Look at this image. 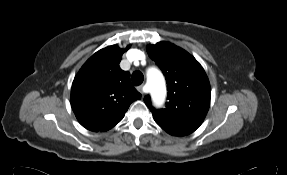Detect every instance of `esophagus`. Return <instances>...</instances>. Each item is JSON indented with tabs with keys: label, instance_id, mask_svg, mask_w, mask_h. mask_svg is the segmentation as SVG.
<instances>
[{
	"label": "esophagus",
	"instance_id": "esophagus-1",
	"mask_svg": "<svg viewBox=\"0 0 287 175\" xmlns=\"http://www.w3.org/2000/svg\"><path fill=\"white\" fill-rule=\"evenodd\" d=\"M137 90L144 96V88H143L142 85H141V86H138V87H137Z\"/></svg>",
	"mask_w": 287,
	"mask_h": 175
}]
</instances>
